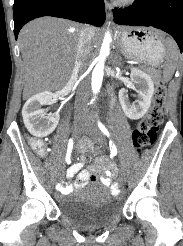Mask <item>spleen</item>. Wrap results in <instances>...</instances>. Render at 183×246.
Returning <instances> with one entry per match:
<instances>
[{
	"mask_svg": "<svg viewBox=\"0 0 183 246\" xmlns=\"http://www.w3.org/2000/svg\"><path fill=\"white\" fill-rule=\"evenodd\" d=\"M166 47H167V54L169 57V64L164 70L163 77L165 81H169L172 78L176 68V61L178 58V48L174 43V41L171 39L166 40Z\"/></svg>",
	"mask_w": 183,
	"mask_h": 246,
	"instance_id": "1",
	"label": "spleen"
}]
</instances>
